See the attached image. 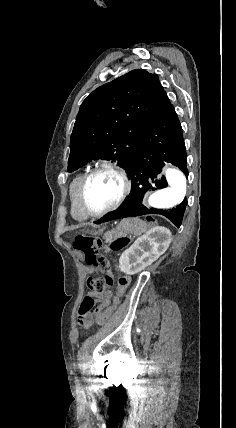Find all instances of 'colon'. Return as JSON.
<instances>
[{
    "label": "colon",
    "mask_w": 236,
    "mask_h": 428,
    "mask_svg": "<svg viewBox=\"0 0 236 428\" xmlns=\"http://www.w3.org/2000/svg\"><path fill=\"white\" fill-rule=\"evenodd\" d=\"M129 244V238L120 236L111 240L109 246L114 251H119ZM73 247L80 252L89 266L99 269L103 277H89L87 287L90 293L84 298L78 312L79 322L84 325L89 320L96 319L98 323H105L119 306L122 296L130 284V277L125 275L115 277L110 268L107 258L100 253L102 241L98 238L78 235ZM117 284V291L109 306H96L97 295L105 291L110 286Z\"/></svg>",
    "instance_id": "colon-1"
}]
</instances>
